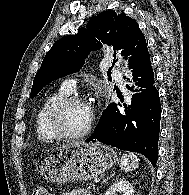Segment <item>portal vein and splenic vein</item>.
Here are the masks:
<instances>
[{"label": "portal vein and splenic vein", "mask_w": 189, "mask_h": 195, "mask_svg": "<svg viewBox=\"0 0 189 195\" xmlns=\"http://www.w3.org/2000/svg\"><path fill=\"white\" fill-rule=\"evenodd\" d=\"M100 180L98 179V178H96L95 180H94V182L95 183H98Z\"/></svg>", "instance_id": "portal-vein-and-splenic-vein-1"}]
</instances>
